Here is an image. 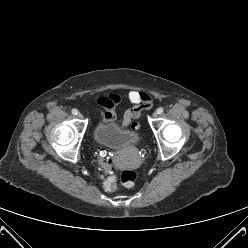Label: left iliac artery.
I'll list each match as a JSON object with an SVG mask.
<instances>
[{
    "label": "left iliac artery",
    "instance_id": "obj_1",
    "mask_svg": "<svg viewBox=\"0 0 248 248\" xmlns=\"http://www.w3.org/2000/svg\"><path fill=\"white\" fill-rule=\"evenodd\" d=\"M163 111H164V109H163L162 107H160V108L157 109V113H158V114H162Z\"/></svg>",
    "mask_w": 248,
    "mask_h": 248
}]
</instances>
